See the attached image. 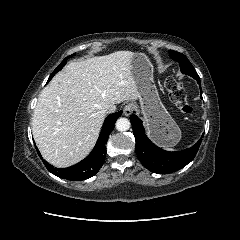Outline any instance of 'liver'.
Returning <instances> with one entry per match:
<instances>
[{
  "mask_svg": "<svg viewBox=\"0 0 240 240\" xmlns=\"http://www.w3.org/2000/svg\"><path fill=\"white\" fill-rule=\"evenodd\" d=\"M134 53L117 51L71 62L42 90L32 132L43 158L69 167L92 150L105 114L123 101L139 99L131 74Z\"/></svg>",
  "mask_w": 240,
  "mask_h": 240,
  "instance_id": "6515ba94",
  "label": "liver"
}]
</instances>
